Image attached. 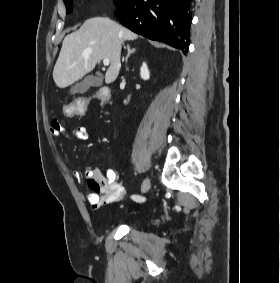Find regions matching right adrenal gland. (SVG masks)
Listing matches in <instances>:
<instances>
[{"mask_svg": "<svg viewBox=\"0 0 280 283\" xmlns=\"http://www.w3.org/2000/svg\"><path fill=\"white\" fill-rule=\"evenodd\" d=\"M127 51H128V54H127V56H126V58L124 59H122V61L124 62H126L127 63V61H128V58H129V56L132 54V53H134L135 51H136V49L135 48H133V49H130V46L129 45H127Z\"/></svg>", "mask_w": 280, "mask_h": 283, "instance_id": "obj_1", "label": "right adrenal gland"}]
</instances>
